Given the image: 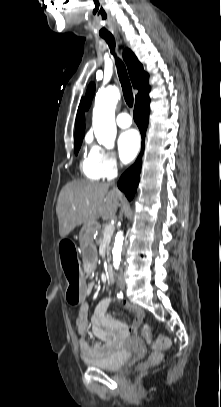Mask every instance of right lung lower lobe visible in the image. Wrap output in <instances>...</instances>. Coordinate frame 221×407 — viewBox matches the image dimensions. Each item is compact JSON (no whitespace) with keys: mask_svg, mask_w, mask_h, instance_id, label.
<instances>
[{"mask_svg":"<svg viewBox=\"0 0 221 407\" xmlns=\"http://www.w3.org/2000/svg\"><path fill=\"white\" fill-rule=\"evenodd\" d=\"M149 103L150 98L147 97L143 101L135 104L134 108V120L137 123L139 130L142 136V150L141 154L139 155L138 159L136 160L135 164L131 166L128 170H126L120 180L118 182V187L123 190L129 200H131L136 192L138 183H139V176H140V169H141V156L144 150V138L146 135V129L148 126V119H149Z\"/></svg>","mask_w":221,"mask_h":407,"instance_id":"obj_1","label":"right lung lower lobe"}]
</instances>
